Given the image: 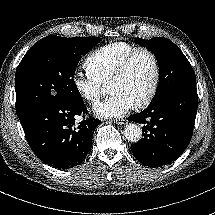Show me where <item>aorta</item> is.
Wrapping results in <instances>:
<instances>
[{"label": "aorta", "mask_w": 215, "mask_h": 215, "mask_svg": "<svg viewBox=\"0 0 215 215\" xmlns=\"http://www.w3.org/2000/svg\"><path fill=\"white\" fill-rule=\"evenodd\" d=\"M125 138L133 143H137L142 138V129L136 124H129L124 130Z\"/></svg>", "instance_id": "1"}]
</instances>
